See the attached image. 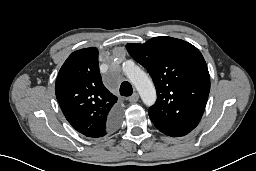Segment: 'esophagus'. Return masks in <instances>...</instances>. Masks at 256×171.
I'll return each mask as SVG.
<instances>
[{"instance_id": "esophagus-1", "label": "esophagus", "mask_w": 256, "mask_h": 171, "mask_svg": "<svg viewBox=\"0 0 256 171\" xmlns=\"http://www.w3.org/2000/svg\"><path fill=\"white\" fill-rule=\"evenodd\" d=\"M139 99L138 93H134L131 97L128 98V101L131 103H136Z\"/></svg>"}]
</instances>
